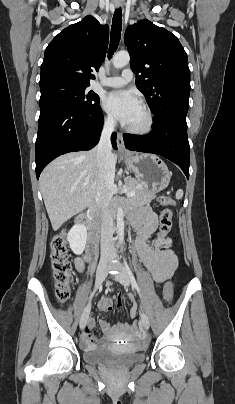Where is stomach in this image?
Segmentation results:
<instances>
[{"instance_id": "stomach-1", "label": "stomach", "mask_w": 235, "mask_h": 404, "mask_svg": "<svg viewBox=\"0 0 235 404\" xmlns=\"http://www.w3.org/2000/svg\"><path fill=\"white\" fill-rule=\"evenodd\" d=\"M127 168L143 181L152 193L165 189L171 179L167 165L155 154H130L124 158Z\"/></svg>"}]
</instances>
